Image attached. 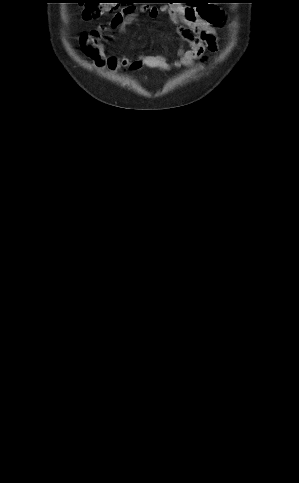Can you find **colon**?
<instances>
[{
  "label": "colon",
  "instance_id": "1",
  "mask_svg": "<svg viewBox=\"0 0 299 483\" xmlns=\"http://www.w3.org/2000/svg\"><path fill=\"white\" fill-rule=\"evenodd\" d=\"M84 3L86 6L82 11V15L88 19H99L108 16L116 10L117 6L121 5L119 0H85ZM198 11L201 18H209L204 5H199Z\"/></svg>",
  "mask_w": 299,
  "mask_h": 483
}]
</instances>
